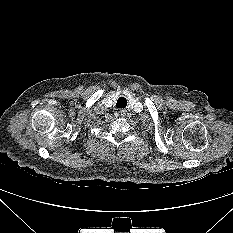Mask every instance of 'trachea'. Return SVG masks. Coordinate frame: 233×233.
Returning a JSON list of instances; mask_svg holds the SVG:
<instances>
[{"label":"trachea","mask_w":233,"mask_h":233,"mask_svg":"<svg viewBox=\"0 0 233 233\" xmlns=\"http://www.w3.org/2000/svg\"><path fill=\"white\" fill-rule=\"evenodd\" d=\"M127 105V99L125 97H119L116 103L117 108H125Z\"/></svg>","instance_id":"3493384b"}]
</instances>
